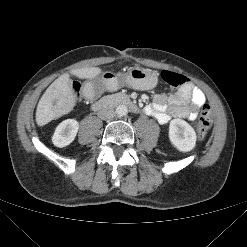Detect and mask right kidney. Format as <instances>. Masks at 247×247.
Segmentation results:
<instances>
[{
	"label": "right kidney",
	"mask_w": 247,
	"mask_h": 247,
	"mask_svg": "<svg viewBox=\"0 0 247 247\" xmlns=\"http://www.w3.org/2000/svg\"><path fill=\"white\" fill-rule=\"evenodd\" d=\"M79 123L75 119L62 121L55 129L52 142L56 147L62 148L72 143L77 135Z\"/></svg>",
	"instance_id": "ca27d5eb"
}]
</instances>
